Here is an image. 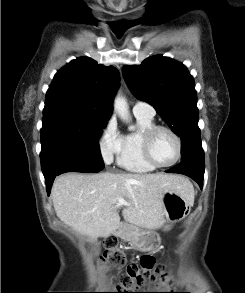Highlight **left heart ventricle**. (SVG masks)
Returning a JSON list of instances; mask_svg holds the SVG:
<instances>
[{"instance_id":"obj_1","label":"left heart ventricle","mask_w":245,"mask_h":293,"mask_svg":"<svg viewBox=\"0 0 245 293\" xmlns=\"http://www.w3.org/2000/svg\"><path fill=\"white\" fill-rule=\"evenodd\" d=\"M153 158L160 164L171 162L177 154V146L173 137L166 131H158L152 141Z\"/></svg>"}]
</instances>
